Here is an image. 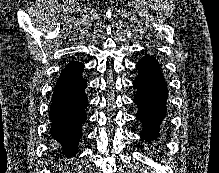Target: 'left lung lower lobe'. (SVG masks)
<instances>
[{
    "label": "left lung lower lobe",
    "instance_id": "0a47b994",
    "mask_svg": "<svg viewBox=\"0 0 219 173\" xmlns=\"http://www.w3.org/2000/svg\"><path fill=\"white\" fill-rule=\"evenodd\" d=\"M136 67L139 70L133 81L137 89L134 102L139 107L136 118L141 121L143 127L140 136L151 141L159 136L160 126L166 114L167 84L160 65L153 56L146 54Z\"/></svg>",
    "mask_w": 219,
    "mask_h": 173
}]
</instances>
